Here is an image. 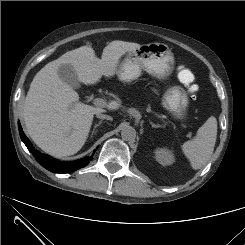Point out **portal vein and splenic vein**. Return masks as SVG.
<instances>
[{"instance_id": "portal-vein-and-splenic-vein-1", "label": "portal vein and splenic vein", "mask_w": 245, "mask_h": 245, "mask_svg": "<svg viewBox=\"0 0 245 245\" xmlns=\"http://www.w3.org/2000/svg\"><path fill=\"white\" fill-rule=\"evenodd\" d=\"M93 101H94L93 103L96 106H99V107H106L107 106V102L104 99L96 98Z\"/></svg>"}]
</instances>
